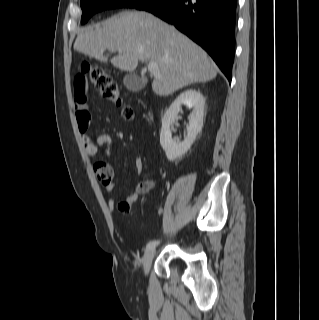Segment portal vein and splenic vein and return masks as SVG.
I'll list each match as a JSON object with an SVG mask.
<instances>
[{
  "instance_id": "18ae733b",
  "label": "portal vein and splenic vein",
  "mask_w": 319,
  "mask_h": 320,
  "mask_svg": "<svg viewBox=\"0 0 319 320\" xmlns=\"http://www.w3.org/2000/svg\"><path fill=\"white\" fill-rule=\"evenodd\" d=\"M148 71L152 73L155 77H158V78L161 77L159 67L156 62H149Z\"/></svg>"
}]
</instances>
